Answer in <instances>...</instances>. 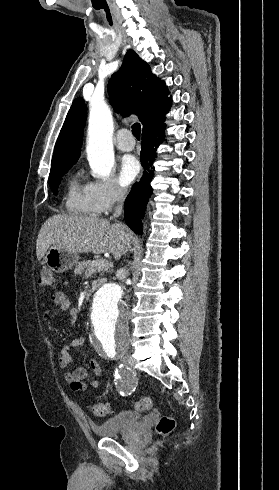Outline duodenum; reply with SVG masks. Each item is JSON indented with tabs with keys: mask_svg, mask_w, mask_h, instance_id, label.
Segmentation results:
<instances>
[{
	"mask_svg": "<svg viewBox=\"0 0 279 490\" xmlns=\"http://www.w3.org/2000/svg\"><path fill=\"white\" fill-rule=\"evenodd\" d=\"M103 283H104V281L102 279H97V280L93 281L89 290H88V294H91V293L95 292L96 290H98L103 285Z\"/></svg>",
	"mask_w": 279,
	"mask_h": 490,
	"instance_id": "obj_1",
	"label": "duodenum"
}]
</instances>
